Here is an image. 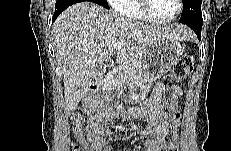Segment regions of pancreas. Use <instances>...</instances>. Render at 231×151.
<instances>
[{
  "instance_id": "1",
  "label": "pancreas",
  "mask_w": 231,
  "mask_h": 151,
  "mask_svg": "<svg viewBox=\"0 0 231 151\" xmlns=\"http://www.w3.org/2000/svg\"><path fill=\"white\" fill-rule=\"evenodd\" d=\"M126 66V68H124ZM142 66L136 60L124 62L122 66L110 72L104 82L106 90H119L125 84L137 82L142 77Z\"/></svg>"
}]
</instances>
